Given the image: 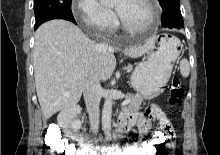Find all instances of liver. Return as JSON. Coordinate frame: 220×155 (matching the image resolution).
<instances>
[{
  "label": "liver",
  "instance_id": "liver-1",
  "mask_svg": "<svg viewBox=\"0 0 220 155\" xmlns=\"http://www.w3.org/2000/svg\"><path fill=\"white\" fill-rule=\"evenodd\" d=\"M152 47L126 49L136 58ZM33 66L37 97L45 119L74 107L80 100L88 76L108 80L116 67L113 48L89 39L77 26L65 20H51L35 33ZM69 94V96H65Z\"/></svg>",
  "mask_w": 220,
  "mask_h": 155
}]
</instances>
